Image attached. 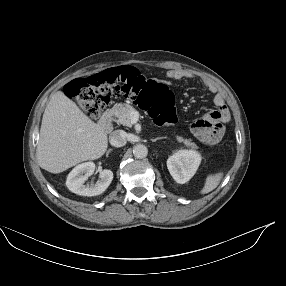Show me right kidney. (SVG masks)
<instances>
[{"label":"right kidney","instance_id":"right-kidney-1","mask_svg":"<svg viewBox=\"0 0 286 286\" xmlns=\"http://www.w3.org/2000/svg\"><path fill=\"white\" fill-rule=\"evenodd\" d=\"M95 171L93 162H85L77 165L67 177L66 185L68 189L82 196H96L103 193L110 185L113 179V172L105 169L99 175V181L96 184L85 185V181Z\"/></svg>","mask_w":286,"mask_h":286}]
</instances>
